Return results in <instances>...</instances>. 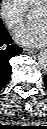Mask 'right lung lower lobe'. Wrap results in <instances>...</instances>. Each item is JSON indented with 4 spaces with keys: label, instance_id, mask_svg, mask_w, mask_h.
<instances>
[{
    "label": "right lung lower lobe",
    "instance_id": "98d812e1",
    "mask_svg": "<svg viewBox=\"0 0 47 129\" xmlns=\"http://www.w3.org/2000/svg\"><path fill=\"white\" fill-rule=\"evenodd\" d=\"M22 49L13 44V40L6 28L0 24V89L8 82L12 67L10 59L18 54H21Z\"/></svg>",
    "mask_w": 47,
    "mask_h": 129
}]
</instances>
